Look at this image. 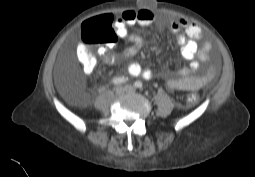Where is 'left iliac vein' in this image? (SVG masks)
Segmentation results:
<instances>
[{
	"mask_svg": "<svg viewBox=\"0 0 255 177\" xmlns=\"http://www.w3.org/2000/svg\"><path fill=\"white\" fill-rule=\"evenodd\" d=\"M126 88H127V92H128V93H132V92H134V90H133V88H132V87L127 86Z\"/></svg>",
	"mask_w": 255,
	"mask_h": 177,
	"instance_id": "left-iliac-vein-1",
	"label": "left iliac vein"
}]
</instances>
